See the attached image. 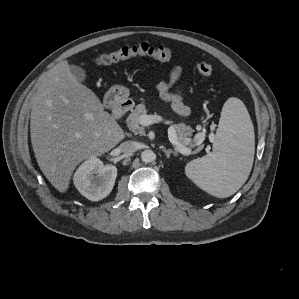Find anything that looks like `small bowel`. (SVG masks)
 Wrapping results in <instances>:
<instances>
[{"mask_svg": "<svg viewBox=\"0 0 299 299\" xmlns=\"http://www.w3.org/2000/svg\"><path fill=\"white\" fill-rule=\"evenodd\" d=\"M182 74V69L179 66L173 68L170 73L169 81L159 82L157 84V90L160 94V97L166 101L170 102L173 110L181 116H187L190 113L189 108L183 103L181 95L178 93H172L171 89L177 83L178 79Z\"/></svg>", "mask_w": 299, "mask_h": 299, "instance_id": "obj_1", "label": "small bowel"}]
</instances>
